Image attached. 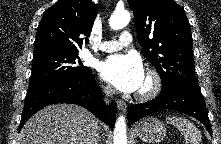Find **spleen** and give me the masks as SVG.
I'll list each match as a JSON object with an SVG mask.
<instances>
[{"label": "spleen", "instance_id": "1", "mask_svg": "<svg viewBox=\"0 0 221 144\" xmlns=\"http://www.w3.org/2000/svg\"><path fill=\"white\" fill-rule=\"evenodd\" d=\"M166 121L177 127L184 136L186 144H200L202 137L201 133L191 121L178 116L167 117Z\"/></svg>", "mask_w": 221, "mask_h": 144}]
</instances>
